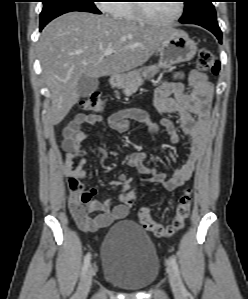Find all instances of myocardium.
Returning <instances> with one entry per match:
<instances>
[{
  "label": "myocardium",
  "mask_w": 248,
  "mask_h": 299,
  "mask_svg": "<svg viewBox=\"0 0 248 299\" xmlns=\"http://www.w3.org/2000/svg\"><path fill=\"white\" fill-rule=\"evenodd\" d=\"M176 2L178 4V9H177L176 15L171 18L164 19V20L155 18L152 15H150L146 10V3H137L135 5V10H136L139 18L145 23H149V24H153V25H168V24H172V23L178 21L184 13L183 1L177 0Z\"/></svg>",
  "instance_id": "f54148a6"
}]
</instances>
